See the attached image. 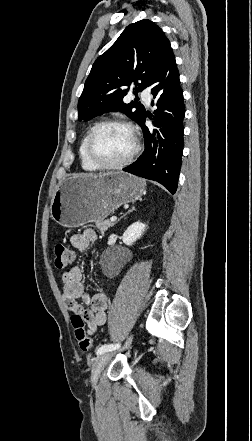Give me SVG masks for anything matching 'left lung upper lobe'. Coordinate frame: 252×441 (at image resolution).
I'll return each mask as SVG.
<instances>
[{
	"instance_id": "5c2ea615",
	"label": "left lung upper lobe",
	"mask_w": 252,
	"mask_h": 441,
	"mask_svg": "<svg viewBox=\"0 0 252 441\" xmlns=\"http://www.w3.org/2000/svg\"><path fill=\"white\" fill-rule=\"evenodd\" d=\"M168 42L150 20L129 25L115 43L93 64L78 102L79 120H90L109 111H121L138 124L144 119L140 103L123 102L129 87H149L160 52Z\"/></svg>"
}]
</instances>
